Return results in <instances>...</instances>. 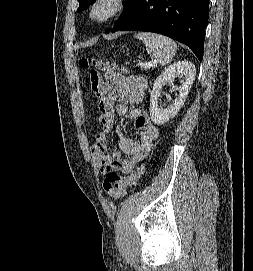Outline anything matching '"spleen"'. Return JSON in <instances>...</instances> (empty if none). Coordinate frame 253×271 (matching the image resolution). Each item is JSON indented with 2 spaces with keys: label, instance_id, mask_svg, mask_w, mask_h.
Listing matches in <instances>:
<instances>
[{
  "label": "spleen",
  "instance_id": "1",
  "mask_svg": "<svg viewBox=\"0 0 253 271\" xmlns=\"http://www.w3.org/2000/svg\"><path fill=\"white\" fill-rule=\"evenodd\" d=\"M135 37L143 41L147 53L161 66L168 65L175 56L177 44L169 37L150 32H141Z\"/></svg>",
  "mask_w": 253,
  "mask_h": 271
}]
</instances>
